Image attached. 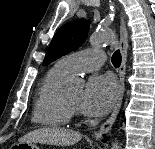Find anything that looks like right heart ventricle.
Instances as JSON below:
<instances>
[{"label":"right heart ventricle","mask_w":155,"mask_h":149,"mask_svg":"<svg viewBox=\"0 0 155 149\" xmlns=\"http://www.w3.org/2000/svg\"><path fill=\"white\" fill-rule=\"evenodd\" d=\"M70 76L58 64L41 80L32 119L46 127H61L69 123L71 112L64 103L63 84Z\"/></svg>","instance_id":"obj_1"}]
</instances>
